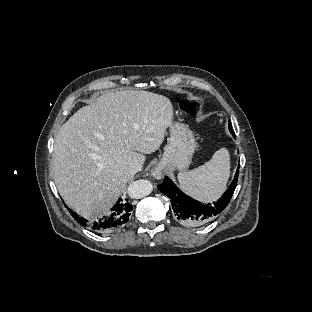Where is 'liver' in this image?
<instances>
[{"label":"liver","instance_id":"liver-1","mask_svg":"<svg viewBox=\"0 0 312 312\" xmlns=\"http://www.w3.org/2000/svg\"><path fill=\"white\" fill-rule=\"evenodd\" d=\"M175 122L166 97L126 90L77 111L54 142L52 175L66 203L84 218L105 213L133 177L129 167L159 150Z\"/></svg>","mask_w":312,"mask_h":312}]
</instances>
